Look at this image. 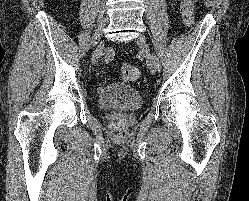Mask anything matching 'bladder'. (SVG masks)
I'll return each instance as SVG.
<instances>
[{
    "instance_id": "bladder-1",
    "label": "bladder",
    "mask_w": 249,
    "mask_h": 201,
    "mask_svg": "<svg viewBox=\"0 0 249 201\" xmlns=\"http://www.w3.org/2000/svg\"><path fill=\"white\" fill-rule=\"evenodd\" d=\"M144 100L139 89L129 84L113 82L103 86L98 93L97 106L101 110L123 108L138 110Z\"/></svg>"
}]
</instances>
